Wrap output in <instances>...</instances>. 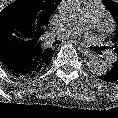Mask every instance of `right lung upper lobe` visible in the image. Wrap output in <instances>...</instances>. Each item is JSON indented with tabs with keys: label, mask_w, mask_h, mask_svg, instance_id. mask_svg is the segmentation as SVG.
<instances>
[{
	"label": "right lung upper lobe",
	"mask_w": 118,
	"mask_h": 118,
	"mask_svg": "<svg viewBox=\"0 0 118 118\" xmlns=\"http://www.w3.org/2000/svg\"><path fill=\"white\" fill-rule=\"evenodd\" d=\"M61 0H16L24 5V26L14 31L3 20L0 13V52L13 49L22 53H32L37 58V70L44 71L51 63L53 50L43 45L41 36L47 31L50 16Z\"/></svg>",
	"instance_id": "cb5924a9"
}]
</instances>
